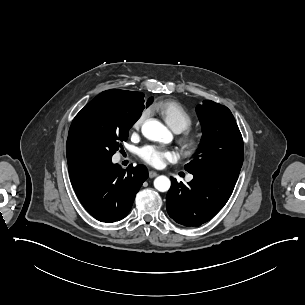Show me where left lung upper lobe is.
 Here are the masks:
<instances>
[{
    "label": "left lung upper lobe",
    "mask_w": 305,
    "mask_h": 305,
    "mask_svg": "<svg viewBox=\"0 0 305 305\" xmlns=\"http://www.w3.org/2000/svg\"><path fill=\"white\" fill-rule=\"evenodd\" d=\"M197 114L203 136L193 160L185 166L189 173L239 176L244 158L242 135L231 111L205 100Z\"/></svg>",
    "instance_id": "left-lung-upper-lobe-1"
}]
</instances>
